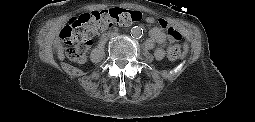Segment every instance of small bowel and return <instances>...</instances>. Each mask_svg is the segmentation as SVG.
Returning a JSON list of instances; mask_svg holds the SVG:
<instances>
[{
    "instance_id": "small-bowel-1",
    "label": "small bowel",
    "mask_w": 255,
    "mask_h": 122,
    "mask_svg": "<svg viewBox=\"0 0 255 122\" xmlns=\"http://www.w3.org/2000/svg\"><path fill=\"white\" fill-rule=\"evenodd\" d=\"M154 18L148 17L147 22L148 23H154ZM160 22L166 23L165 20L159 19L158 23L159 26L153 27L150 32H149V37L146 40L145 47L146 49L150 50L154 48L156 44L161 45L160 47L156 48L154 55L155 57L160 60L164 57V45L167 41H170V37L168 34L166 35L165 32L163 31V27L160 25ZM167 24V23H166Z\"/></svg>"
}]
</instances>
